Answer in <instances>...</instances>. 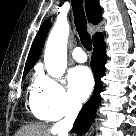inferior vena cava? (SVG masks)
I'll return each instance as SVG.
<instances>
[{
  "label": "inferior vena cava",
  "instance_id": "602c4592",
  "mask_svg": "<svg viewBox=\"0 0 136 136\" xmlns=\"http://www.w3.org/2000/svg\"><path fill=\"white\" fill-rule=\"evenodd\" d=\"M81 109V105L72 103L65 111V118L54 125L58 136H68L69 130L73 127L74 121Z\"/></svg>",
  "mask_w": 136,
  "mask_h": 136
}]
</instances>
